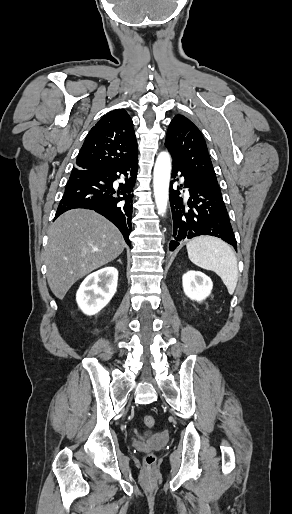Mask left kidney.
I'll return each instance as SVG.
<instances>
[{
  "instance_id": "obj_1",
  "label": "left kidney",
  "mask_w": 292,
  "mask_h": 514,
  "mask_svg": "<svg viewBox=\"0 0 292 514\" xmlns=\"http://www.w3.org/2000/svg\"><path fill=\"white\" fill-rule=\"evenodd\" d=\"M182 282L186 296L191 300H197V302L208 298L213 288V282L208 276H205L202 272H194V270L184 274Z\"/></svg>"
}]
</instances>
